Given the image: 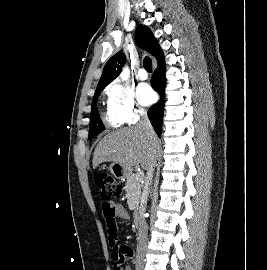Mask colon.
<instances>
[{
	"label": "colon",
	"mask_w": 267,
	"mask_h": 270,
	"mask_svg": "<svg viewBox=\"0 0 267 270\" xmlns=\"http://www.w3.org/2000/svg\"><path fill=\"white\" fill-rule=\"evenodd\" d=\"M95 184L100 191L101 199L104 202H109L111 199L118 197L121 194V187L115 179L107 174L101 173L96 175ZM113 270H121L122 259L118 255L111 258Z\"/></svg>",
	"instance_id": "1"
}]
</instances>
